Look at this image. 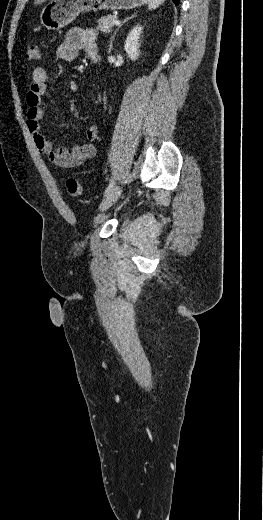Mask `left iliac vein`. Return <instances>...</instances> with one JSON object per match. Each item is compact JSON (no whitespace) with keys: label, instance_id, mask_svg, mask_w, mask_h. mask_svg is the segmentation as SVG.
<instances>
[{"label":"left iliac vein","instance_id":"obj_1","mask_svg":"<svg viewBox=\"0 0 263 520\" xmlns=\"http://www.w3.org/2000/svg\"><path fill=\"white\" fill-rule=\"evenodd\" d=\"M122 193V188L121 187H115L113 188L105 197L104 199L102 200L100 206H99V210L104 212L106 211L108 208H110L117 200L118 198L120 197Z\"/></svg>","mask_w":263,"mask_h":520}]
</instances>
